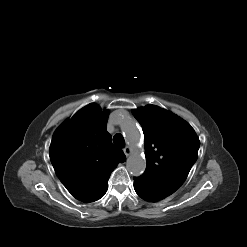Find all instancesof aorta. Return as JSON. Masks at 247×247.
<instances>
[{
  "label": "aorta",
  "instance_id": "1",
  "mask_svg": "<svg viewBox=\"0 0 247 247\" xmlns=\"http://www.w3.org/2000/svg\"><path fill=\"white\" fill-rule=\"evenodd\" d=\"M120 127L129 146L133 149L127 160V169L133 176H139L146 168V160L139 151L142 139L137 123L132 117L121 115Z\"/></svg>",
  "mask_w": 247,
  "mask_h": 247
}]
</instances>
